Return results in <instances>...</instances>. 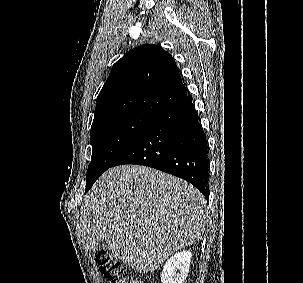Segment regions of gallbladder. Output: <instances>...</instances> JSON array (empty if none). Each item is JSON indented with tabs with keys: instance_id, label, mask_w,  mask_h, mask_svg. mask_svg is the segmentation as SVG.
<instances>
[{
	"instance_id": "1",
	"label": "gallbladder",
	"mask_w": 303,
	"mask_h": 283,
	"mask_svg": "<svg viewBox=\"0 0 303 283\" xmlns=\"http://www.w3.org/2000/svg\"><path fill=\"white\" fill-rule=\"evenodd\" d=\"M108 242L106 240H101L97 246V250L99 249H108Z\"/></svg>"
}]
</instances>
